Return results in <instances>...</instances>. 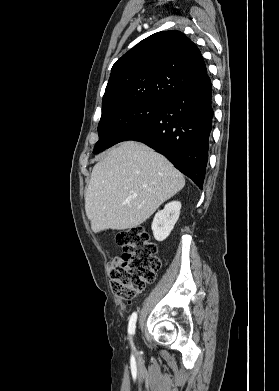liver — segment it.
I'll return each instance as SVG.
<instances>
[{
	"label": "liver",
	"instance_id": "obj_1",
	"mask_svg": "<svg viewBox=\"0 0 279 391\" xmlns=\"http://www.w3.org/2000/svg\"><path fill=\"white\" fill-rule=\"evenodd\" d=\"M184 185V176L163 155L140 142H122L93 167L85 194L91 228H135Z\"/></svg>",
	"mask_w": 279,
	"mask_h": 391
}]
</instances>
